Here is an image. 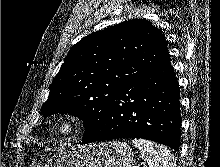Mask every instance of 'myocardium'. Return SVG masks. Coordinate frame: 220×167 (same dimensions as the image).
<instances>
[{
  "instance_id": "myocardium-1",
  "label": "myocardium",
  "mask_w": 220,
  "mask_h": 167,
  "mask_svg": "<svg viewBox=\"0 0 220 167\" xmlns=\"http://www.w3.org/2000/svg\"><path fill=\"white\" fill-rule=\"evenodd\" d=\"M84 128L83 120L75 114H65L57 119L54 130L62 139H72L78 136Z\"/></svg>"
}]
</instances>
